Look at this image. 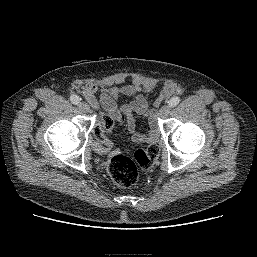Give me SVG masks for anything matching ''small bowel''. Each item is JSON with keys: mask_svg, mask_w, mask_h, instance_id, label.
Returning a JSON list of instances; mask_svg holds the SVG:
<instances>
[{"mask_svg": "<svg viewBox=\"0 0 257 257\" xmlns=\"http://www.w3.org/2000/svg\"><path fill=\"white\" fill-rule=\"evenodd\" d=\"M154 87L149 84L144 88L137 85L99 87L93 83H87L82 87V94L93 109L102 107L108 116L118 121H125L132 139L136 143H153L159 135L156 121V109L150 108L141 92L150 91ZM175 90L173 83L167 82L163 88V95L168 96ZM128 97L127 103H119L121 97ZM143 116L148 119L149 131L141 133L136 130L135 116ZM103 117V116H102Z\"/></svg>", "mask_w": 257, "mask_h": 257, "instance_id": "1", "label": "small bowel"}]
</instances>
